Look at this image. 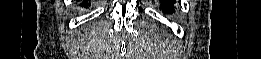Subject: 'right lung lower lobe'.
I'll return each mask as SVG.
<instances>
[{
  "label": "right lung lower lobe",
  "instance_id": "1",
  "mask_svg": "<svg viewBox=\"0 0 261 59\" xmlns=\"http://www.w3.org/2000/svg\"><path fill=\"white\" fill-rule=\"evenodd\" d=\"M81 5H82L83 7H86V8H87L89 4H88V1H85V2H83Z\"/></svg>",
  "mask_w": 261,
  "mask_h": 59
}]
</instances>
